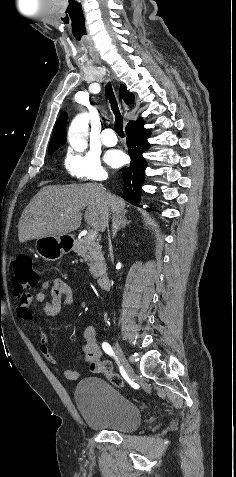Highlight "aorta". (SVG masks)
<instances>
[{
    "instance_id": "762f6f07",
    "label": "aorta",
    "mask_w": 236,
    "mask_h": 477,
    "mask_svg": "<svg viewBox=\"0 0 236 477\" xmlns=\"http://www.w3.org/2000/svg\"><path fill=\"white\" fill-rule=\"evenodd\" d=\"M88 123L89 119L87 115H78L71 122L68 132V141L73 148L77 150H83L86 148Z\"/></svg>"
}]
</instances>
